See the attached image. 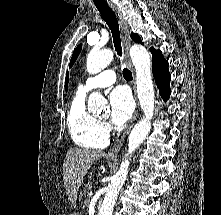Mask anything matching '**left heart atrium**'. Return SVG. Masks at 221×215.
Returning a JSON list of instances; mask_svg holds the SVG:
<instances>
[{"mask_svg":"<svg viewBox=\"0 0 221 215\" xmlns=\"http://www.w3.org/2000/svg\"><path fill=\"white\" fill-rule=\"evenodd\" d=\"M111 122L116 126L124 125L132 116L134 104L126 87H116L110 94Z\"/></svg>","mask_w":221,"mask_h":215,"instance_id":"1","label":"left heart atrium"}]
</instances>
